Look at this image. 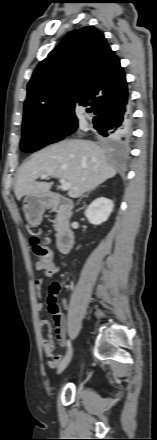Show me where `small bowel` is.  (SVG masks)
Returning a JSON list of instances; mask_svg holds the SVG:
<instances>
[{
    "instance_id": "1",
    "label": "small bowel",
    "mask_w": 157,
    "mask_h": 440,
    "mask_svg": "<svg viewBox=\"0 0 157 440\" xmlns=\"http://www.w3.org/2000/svg\"><path fill=\"white\" fill-rule=\"evenodd\" d=\"M36 270L41 272V276L38 277L35 280V286L37 293L40 294L41 292V285L43 282V279L45 277H51L58 273V268L54 264L53 261H50L48 263H36ZM49 312L53 316V321L55 325V337L57 339V342L60 346H65L66 344V320L64 314L59 310L57 307L56 309H52L50 306H48ZM37 311L41 312L43 310V304L38 303L36 305ZM39 325L41 328L47 327L48 328V335L47 338L42 339L41 346L44 351V353L49 357L48 366L50 368H55L56 365L62 360L61 354H53V334H52V328L48 320L42 319L39 322Z\"/></svg>"
}]
</instances>
